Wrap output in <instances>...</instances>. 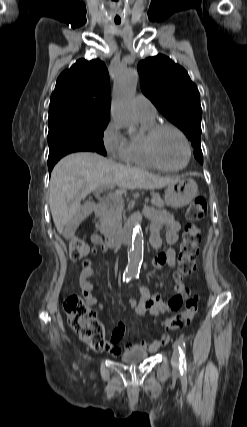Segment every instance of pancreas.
I'll return each mask as SVG.
<instances>
[{"instance_id":"cf45deb5","label":"pancreas","mask_w":247,"mask_h":427,"mask_svg":"<svg viewBox=\"0 0 247 427\" xmlns=\"http://www.w3.org/2000/svg\"><path fill=\"white\" fill-rule=\"evenodd\" d=\"M151 204L154 207H163L164 201L159 194H152ZM123 202L113 201L99 212L100 225L96 228L106 237L114 235L121 228Z\"/></svg>"}]
</instances>
